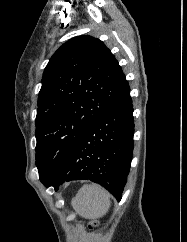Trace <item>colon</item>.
I'll return each instance as SVG.
<instances>
[{
	"label": "colon",
	"instance_id": "obj_1",
	"mask_svg": "<svg viewBox=\"0 0 187 242\" xmlns=\"http://www.w3.org/2000/svg\"><path fill=\"white\" fill-rule=\"evenodd\" d=\"M95 224H96V222L90 224L89 227L91 228V227H92L93 225H95Z\"/></svg>",
	"mask_w": 187,
	"mask_h": 242
}]
</instances>
